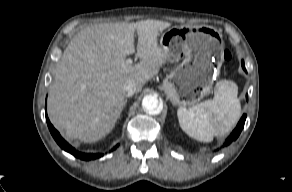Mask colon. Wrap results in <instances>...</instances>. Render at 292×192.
<instances>
[{"label": "colon", "mask_w": 292, "mask_h": 192, "mask_svg": "<svg viewBox=\"0 0 292 192\" xmlns=\"http://www.w3.org/2000/svg\"><path fill=\"white\" fill-rule=\"evenodd\" d=\"M223 58L225 61L229 62L232 59V52L229 49H225L223 52Z\"/></svg>", "instance_id": "1"}]
</instances>
